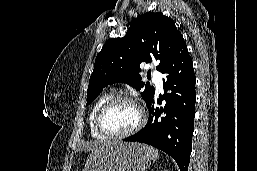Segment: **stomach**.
<instances>
[{
	"label": "stomach",
	"mask_w": 257,
	"mask_h": 171,
	"mask_svg": "<svg viewBox=\"0 0 257 171\" xmlns=\"http://www.w3.org/2000/svg\"><path fill=\"white\" fill-rule=\"evenodd\" d=\"M150 158L146 146L116 141L92 151L83 171H146Z\"/></svg>",
	"instance_id": "obj_1"
}]
</instances>
